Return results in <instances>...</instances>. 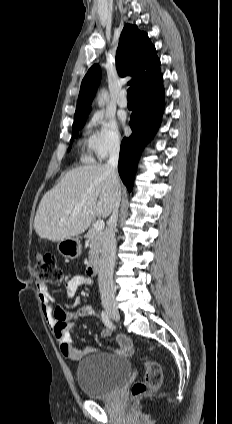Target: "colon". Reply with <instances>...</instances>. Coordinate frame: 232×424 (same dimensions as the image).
I'll use <instances>...</instances> for the list:
<instances>
[{"label": "colon", "instance_id": "5ec220e1", "mask_svg": "<svg viewBox=\"0 0 232 424\" xmlns=\"http://www.w3.org/2000/svg\"><path fill=\"white\" fill-rule=\"evenodd\" d=\"M35 278L39 283H57L63 279L62 270L57 266L56 258L50 253H38L36 256ZM145 377L135 382L130 389L131 398H138L155 392L162 382L160 365L153 360L144 364Z\"/></svg>", "mask_w": 232, "mask_h": 424}]
</instances>
